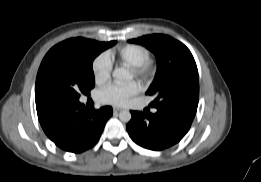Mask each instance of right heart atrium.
<instances>
[{"label":"right heart atrium","instance_id":"right-heart-atrium-1","mask_svg":"<svg viewBox=\"0 0 261 182\" xmlns=\"http://www.w3.org/2000/svg\"><path fill=\"white\" fill-rule=\"evenodd\" d=\"M112 71V62L105 53L98 55L92 63V73L97 84L101 85L107 82Z\"/></svg>","mask_w":261,"mask_h":182}]
</instances>
